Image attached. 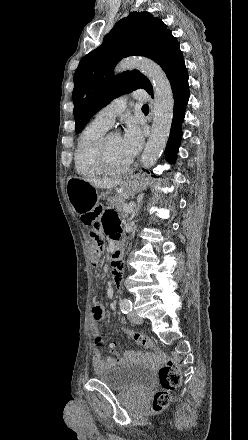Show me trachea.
Listing matches in <instances>:
<instances>
[{
    "mask_svg": "<svg viewBox=\"0 0 248 440\" xmlns=\"http://www.w3.org/2000/svg\"><path fill=\"white\" fill-rule=\"evenodd\" d=\"M142 109H143V110H149V106H148L147 104H146V105H143Z\"/></svg>",
    "mask_w": 248,
    "mask_h": 440,
    "instance_id": "3493384b",
    "label": "trachea"
}]
</instances>
